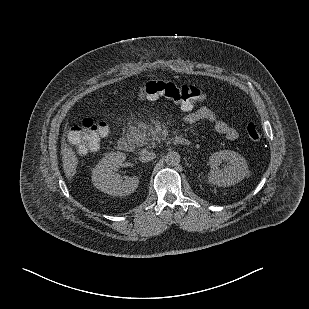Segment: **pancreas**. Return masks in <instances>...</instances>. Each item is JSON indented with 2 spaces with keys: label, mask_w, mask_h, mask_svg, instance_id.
Segmentation results:
<instances>
[{
  "label": "pancreas",
  "mask_w": 309,
  "mask_h": 309,
  "mask_svg": "<svg viewBox=\"0 0 309 309\" xmlns=\"http://www.w3.org/2000/svg\"><path fill=\"white\" fill-rule=\"evenodd\" d=\"M139 134L143 136V134H146V133H144L143 131H140ZM153 137H154V136H152V137L146 136L145 139H146L147 141L152 142V141H153V140H152ZM155 137H156V136H155Z\"/></svg>",
  "instance_id": "obj_1"
}]
</instances>
